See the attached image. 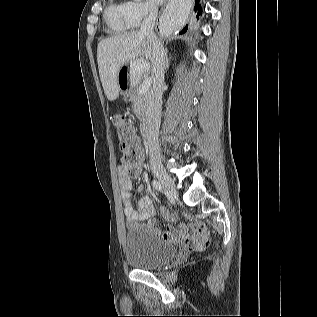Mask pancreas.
<instances>
[{
  "instance_id": "pancreas-1",
  "label": "pancreas",
  "mask_w": 317,
  "mask_h": 317,
  "mask_svg": "<svg viewBox=\"0 0 317 317\" xmlns=\"http://www.w3.org/2000/svg\"><path fill=\"white\" fill-rule=\"evenodd\" d=\"M140 75H134V77H139ZM139 89L137 84L133 85L132 90L129 92V101L132 103V110L137 118L143 120L146 112V94L140 93Z\"/></svg>"
}]
</instances>
